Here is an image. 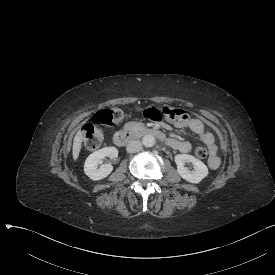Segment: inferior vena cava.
<instances>
[{
    "label": "inferior vena cava",
    "instance_id": "obj_1",
    "mask_svg": "<svg viewBox=\"0 0 275 275\" xmlns=\"http://www.w3.org/2000/svg\"><path fill=\"white\" fill-rule=\"evenodd\" d=\"M141 149L142 145L139 140H132L126 146V150L128 153H136L139 152Z\"/></svg>",
    "mask_w": 275,
    "mask_h": 275
}]
</instances>
